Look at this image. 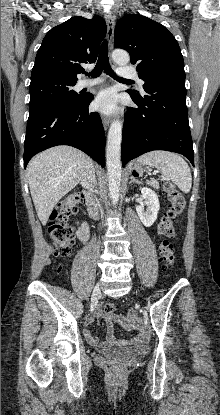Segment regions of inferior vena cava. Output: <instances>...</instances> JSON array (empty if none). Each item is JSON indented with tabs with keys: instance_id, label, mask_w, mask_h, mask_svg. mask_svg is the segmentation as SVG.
Wrapping results in <instances>:
<instances>
[{
	"instance_id": "inferior-vena-cava-1",
	"label": "inferior vena cava",
	"mask_w": 220,
	"mask_h": 415,
	"mask_svg": "<svg viewBox=\"0 0 220 415\" xmlns=\"http://www.w3.org/2000/svg\"><path fill=\"white\" fill-rule=\"evenodd\" d=\"M92 173H93V170L90 172V175L82 181V184L84 185V187L87 188L90 192L94 191V182H95V179L92 177Z\"/></svg>"
}]
</instances>
